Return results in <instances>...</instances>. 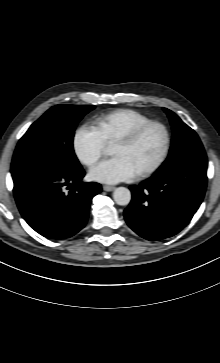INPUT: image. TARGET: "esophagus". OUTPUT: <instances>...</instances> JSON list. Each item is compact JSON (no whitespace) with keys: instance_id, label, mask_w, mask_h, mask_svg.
I'll return each mask as SVG.
<instances>
[{"instance_id":"obj_1","label":"esophagus","mask_w":220,"mask_h":363,"mask_svg":"<svg viewBox=\"0 0 220 363\" xmlns=\"http://www.w3.org/2000/svg\"><path fill=\"white\" fill-rule=\"evenodd\" d=\"M115 189V187L114 186H109V185H104L103 186V190L104 191H107V192H111V191H113Z\"/></svg>"}]
</instances>
